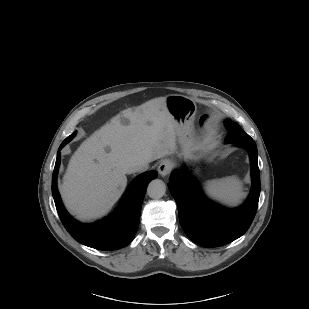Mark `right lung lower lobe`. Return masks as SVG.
<instances>
[{
  "instance_id": "right-lung-lower-lobe-1",
  "label": "right lung lower lobe",
  "mask_w": 309,
  "mask_h": 309,
  "mask_svg": "<svg viewBox=\"0 0 309 309\" xmlns=\"http://www.w3.org/2000/svg\"><path fill=\"white\" fill-rule=\"evenodd\" d=\"M68 142L65 139L58 149L52 175V194L64 227L75 240L88 247L98 250H116L125 247L133 240L137 232L145 189L148 182L157 177V172L150 171L138 176L130 185L115 213L110 217L93 224H82L67 213L57 189L60 150Z\"/></svg>"
}]
</instances>
